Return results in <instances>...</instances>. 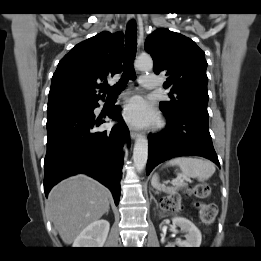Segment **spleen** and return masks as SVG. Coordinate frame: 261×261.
I'll use <instances>...</instances> for the list:
<instances>
[{
    "instance_id": "obj_1",
    "label": "spleen",
    "mask_w": 261,
    "mask_h": 261,
    "mask_svg": "<svg viewBox=\"0 0 261 261\" xmlns=\"http://www.w3.org/2000/svg\"><path fill=\"white\" fill-rule=\"evenodd\" d=\"M167 166H178L181 170V174L178 178H197L198 180H207L215 172V165L209 160H204L194 157H179L174 158L166 163ZM152 186L157 190H163L164 192L175 194L179 189V184L174 187H166L159 183L157 174H154L151 180Z\"/></svg>"
}]
</instances>
